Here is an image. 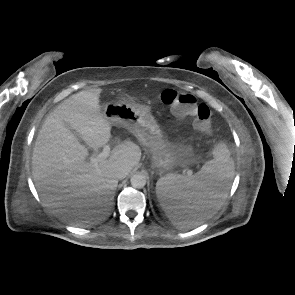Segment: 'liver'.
Segmentation results:
<instances>
[{"label":"liver","instance_id":"obj_1","mask_svg":"<svg viewBox=\"0 0 295 295\" xmlns=\"http://www.w3.org/2000/svg\"><path fill=\"white\" fill-rule=\"evenodd\" d=\"M101 89L76 93L61 102L46 118L32 154V174L42 201L64 221L79 223L105 211L118 185L115 170L138 165L141 149L132 141L113 148L108 159L88 162V149L105 145L111 122L100 106Z\"/></svg>","mask_w":295,"mask_h":295}]
</instances>
